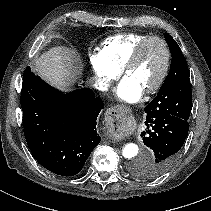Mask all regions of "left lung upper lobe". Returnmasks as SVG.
<instances>
[{
    "label": "left lung upper lobe",
    "mask_w": 211,
    "mask_h": 211,
    "mask_svg": "<svg viewBox=\"0 0 211 211\" xmlns=\"http://www.w3.org/2000/svg\"><path fill=\"white\" fill-rule=\"evenodd\" d=\"M164 37L172 54L170 72L156 98L145 107V112L147 117L169 114L188 121L192 109V91L186 59L172 36L164 33ZM135 173L142 176L137 167Z\"/></svg>",
    "instance_id": "1"
}]
</instances>
